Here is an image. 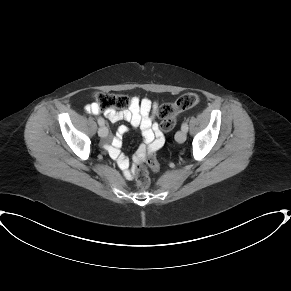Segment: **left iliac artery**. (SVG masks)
<instances>
[{"label":"left iliac artery","mask_w":291,"mask_h":291,"mask_svg":"<svg viewBox=\"0 0 291 291\" xmlns=\"http://www.w3.org/2000/svg\"><path fill=\"white\" fill-rule=\"evenodd\" d=\"M181 129H182L183 131L187 132V131H188V124H187L186 122H184V123L182 124V126H181Z\"/></svg>","instance_id":"44dca946"}]
</instances>
